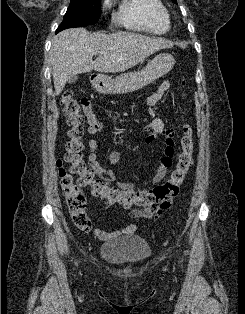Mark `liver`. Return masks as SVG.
Segmentation results:
<instances>
[{"instance_id": "obj_1", "label": "liver", "mask_w": 245, "mask_h": 314, "mask_svg": "<svg viewBox=\"0 0 245 314\" xmlns=\"http://www.w3.org/2000/svg\"><path fill=\"white\" fill-rule=\"evenodd\" d=\"M173 43L133 32L89 33L84 28L67 29L52 41L49 53L55 94L59 95L68 79L92 70L122 72L142 62L151 54ZM98 58L93 61V55Z\"/></svg>"}]
</instances>
